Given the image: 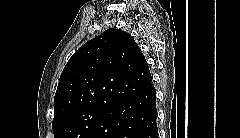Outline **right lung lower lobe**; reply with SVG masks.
Segmentation results:
<instances>
[{
    "instance_id": "1",
    "label": "right lung lower lobe",
    "mask_w": 240,
    "mask_h": 138,
    "mask_svg": "<svg viewBox=\"0 0 240 138\" xmlns=\"http://www.w3.org/2000/svg\"><path fill=\"white\" fill-rule=\"evenodd\" d=\"M156 91L151 82L107 110L88 138H158Z\"/></svg>"
}]
</instances>
